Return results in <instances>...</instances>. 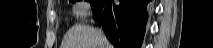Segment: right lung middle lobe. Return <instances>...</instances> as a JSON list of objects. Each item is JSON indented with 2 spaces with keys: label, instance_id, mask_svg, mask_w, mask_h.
Segmentation results:
<instances>
[{
  "label": "right lung middle lobe",
  "instance_id": "1",
  "mask_svg": "<svg viewBox=\"0 0 213 48\" xmlns=\"http://www.w3.org/2000/svg\"><path fill=\"white\" fill-rule=\"evenodd\" d=\"M71 2H76L77 0H70ZM99 0H92V7L98 2Z\"/></svg>",
  "mask_w": 213,
  "mask_h": 48
}]
</instances>
